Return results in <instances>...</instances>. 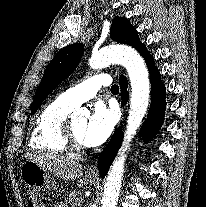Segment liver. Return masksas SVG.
Returning a JSON list of instances; mask_svg holds the SVG:
<instances>
[{
    "label": "liver",
    "mask_w": 206,
    "mask_h": 207,
    "mask_svg": "<svg viewBox=\"0 0 206 207\" xmlns=\"http://www.w3.org/2000/svg\"><path fill=\"white\" fill-rule=\"evenodd\" d=\"M29 159L42 168L64 180H76L83 174L81 164L52 152H36L28 155Z\"/></svg>",
    "instance_id": "liver-1"
}]
</instances>
